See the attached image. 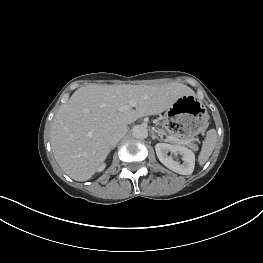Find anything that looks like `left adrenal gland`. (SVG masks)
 Listing matches in <instances>:
<instances>
[{
    "instance_id": "left-adrenal-gland-1",
    "label": "left adrenal gland",
    "mask_w": 263,
    "mask_h": 263,
    "mask_svg": "<svg viewBox=\"0 0 263 263\" xmlns=\"http://www.w3.org/2000/svg\"><path fill=\"white\" fill-rule=\"evenodd\" d=\"M152 133V139H157V140H159V141H162V139L161 138H159L156 134H155V132L154 131H152L151 132Z\"/></svg>"
}]
</instances>
